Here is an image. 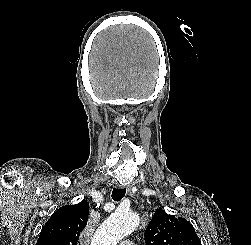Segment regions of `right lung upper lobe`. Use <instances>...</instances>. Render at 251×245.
Returning a JSON list of instances; mask_svg holds the SVG:
<instances>
[{
	"label": "right lung upper lobe",
	"mask_w": 251,
	"mask_h": 245,
	"mask_svg": "<svg viewBox=\"0 0 251 245\" xmlns=\"http://www.w3.org/2000/svg\"><path fill=\"white\" fill-rule=\"evenodd\" d=\"M88 213L87 201L59 208L45 223L36 245H77Z\"/></svg>",
	"instance_id": "cb5924a9"
}]
</instances>
